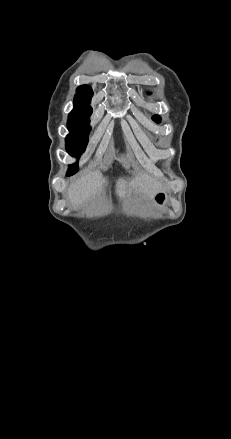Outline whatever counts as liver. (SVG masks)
Segmentation results:
<instances>
[{"instance_id":"liver-1","label":"liver","mask_w":231,"mask_h":439,"mask_svg":"<svg viewBox=\"0 0 231 439\" xmlns=\"http://www.w3.org/2000/svg\"><path fill=\"white\" fill-rule=\"evenodd\" d=\"M106 181L103 179L101 173L91 172L80 179L76 180L68 190V199L73 205H80L87 201L91 196H94L98 190L102 189ZM133 189L139 188L148 197H153L156 193L163 191V186L160 182L150 177L147 174H141L135 177L129 183ZM126 182L120 179L117 182V195L123 198L126 194Z\"/></svg>"}]
</instances>
